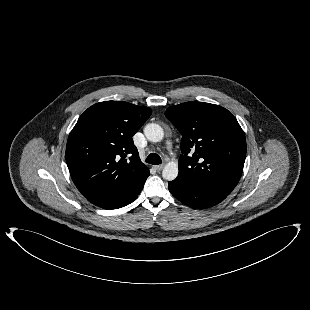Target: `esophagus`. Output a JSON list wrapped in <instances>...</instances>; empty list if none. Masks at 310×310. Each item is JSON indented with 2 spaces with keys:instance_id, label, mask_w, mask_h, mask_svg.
<instances>
[{
  "instance_id": "esophagus-1",
  "label": "esophagus",
  "mask_w": 310,
  "mask_h": 310,
  "mask_svg": "<svg viewBox=\"0 0 310 310\" xmlns=\"http://www.w3.org/2000/svg\"><path fill=\"white\" fill-rule=\"evenodd\" d=\"M163 167H164V165H155L154 169L159 172L163 169Z\"/></svg>"
}]
</instances>
